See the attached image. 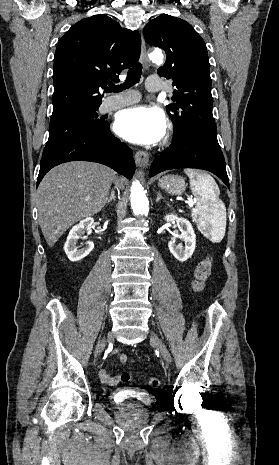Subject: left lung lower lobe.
<instances>
[{
  "instance_id": "1",
  "label": "left lung lower lobe",
  "mask_w": 279,
  "mask_h": 465,
  "mask_svg": "<svg viewBox=\"0 0 279 465\" xmlns=\"http://www.w3.org/2000/svg\"><path fill=\"white\" fill-rule=\"evenodd\" d=\"M204 169L218 176L230 189L226 164L220 147L194 136L173 139L151 164L150 177L170 169Z\"/></svg>"
}]
</instances>
